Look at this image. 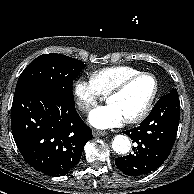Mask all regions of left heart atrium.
<instances>
[{
	"label": "left heart atrium",
	"instance_id": "39dd6f15",
	"mask_svg": "<svg viewBox=\"0 0 194 194\" xmlns=\"http://www.w3.org/2000/svg\"><path fill=\"white\" fill-rule=\"evenodd\" d=\"M126 119L112 104L93 110L88 118L89 123L98 129L120 126Z\"/></svg>",
	"mask_w": 194,
	"mask_h": 194
}]
</instances>
